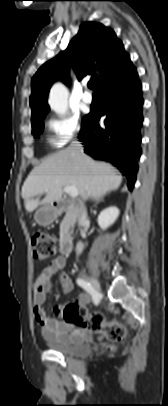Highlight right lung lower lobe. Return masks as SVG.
I'll return each mask as SVG.
<instances>
[{
	"mask_svg": "<svg viewBox=\"0 0 168 406\" xmlns=\"http://www.w3.org/2000/svg\"><path fill=\"white\" fill-rule=\"evenodd\" d=\"M101 109L85 116L79 139L94 159L110 162L127 177L132 190L141 156L140 129L143 122L141 83L134 66L97 90ZM105 116L104 126L99 119Z\"/></svg>",
	"mask_w": 168,
	"mask_h": 406,
	"instance_id": "right-lung-lower-lobe-1",
	"label": "right lung lower lobe"
}]
</instances>
